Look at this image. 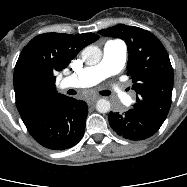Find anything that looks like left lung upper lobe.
<instances>
[{"instance_id": "obj_1", "label": "left lung upper lobe", "mask_w": 187, "mask_h": 187, "mask_svg": "<svg viewBox=\"0 0 187 187\" xmlns=\"http://www.w3.org/2000/svg\"><path fill=\"white\" fill-rule=\"evenodd\" d=\"M103 36L118 37L128 46V75L137 93L133 109L164 122L171 106L173 69L162 43L151 32L135 26L118 24L100 30Z\"/></svg>"}]
</instances>
